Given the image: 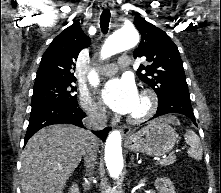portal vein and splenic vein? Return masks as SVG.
<instances>
[{"mask_svg":"<svg viewBox=\"0 0 221 193\" xmlns=\"http://www.w3.org/2000/svg\"><path fill=\"white\" fill-rule=\"evenodd\" d=\"M171 157H172V156H171ZM167 158H169V157H167V156H163V157L160 159V161H159V162L161 163V162H163V161H166V160H167Z\"/></svg>","mask_w":221,"mask_h":193,"instance_id":"1","label":"portal vein and splenic vein"}]
</instances>
